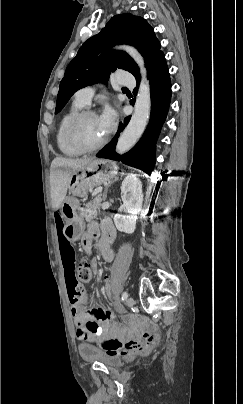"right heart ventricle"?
I'll use <instances>...</instances> for the list:
<instances>
[{
	"mask_svg": "<svg viewBox=\"0 0 243 404\" xmlns=\"http://www.w3.org/2000/svg\"><path fill=\"white\" fill-rule=\"evenodd\" d=\"M78 92V91H77ZM85 105L78 99H74L69 107L62 113L54 131V140L58 151L65 156L78 157L84 152L67 143L63 137V129L66 122Z\"/></svg>",
	"mask_w": 243,
	"mask_h": 404,
	"instance_id": "obj_1",
	"label": "right heart ventricle"
}]
</instances>
